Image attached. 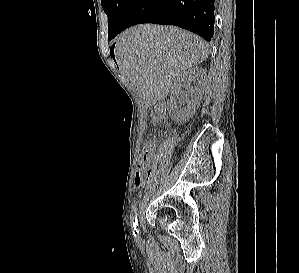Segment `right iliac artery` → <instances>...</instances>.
Masks as SVG:
<instances>
[{"mask_svg":"<svg viewBox=\"0 0 299 273\" xmlns=\"http://www.w3.org/2000/svg\"><path fill=\"white\" fill-rule=\"evenodd\" d=\"M136 211H137L136 206H134L133 209H132V214H131V222H132V225H133V234H134V236H137L139 234L137 212Z\"/></svg>","mask_w":299,"mask_h":273,"instance_id":"82829eb1","label":"right iliac artery"}]
</instances>
